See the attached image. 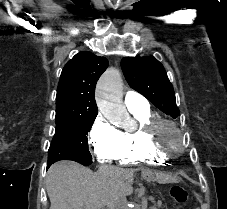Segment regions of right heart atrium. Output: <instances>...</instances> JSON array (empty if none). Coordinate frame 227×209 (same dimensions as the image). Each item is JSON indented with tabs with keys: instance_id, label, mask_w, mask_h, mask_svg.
<instances>
[{
	"instance_id": "d8ad5b80",
	"label": "right heart atrium",
	"mask_w": 227,
	"mask_h": 209,
	"mask_svg": "<svg viewBox=\"0 0 227 209\" xmlns=\"http://www.w3.org/2000/svg\"><path fill=\"white\" fill-rule=\"evenodd\" d=\"M94 154L101 162L111 161L121 144V131L108 120L99 116L89 134Z\"/></svg>"
}]
</instances>
